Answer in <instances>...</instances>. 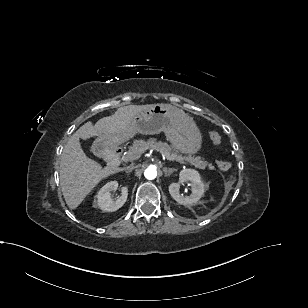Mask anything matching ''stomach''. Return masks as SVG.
I'll list each match as a JSON object with an SVG mask.
<instances>
[{"instance_id": "1", "label": "stomach", "mask_w": 308, "mask_h": 308, "mask_svg": "<svg viewBox=\"0 0 308 308\" xmlns=\"http://www.w3.org/2000/svg\"><path fill=\"white\" fill-rule=\"evenodd\" d=\"M164 132L166 139L185 154H196L201 149L202 136L194 120L183 110L170 104H155L137 115L131 122V129L121 135H102L94 141L100 152H104L135 134H156Z\"/></svg>"}]
</instances>
